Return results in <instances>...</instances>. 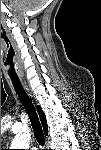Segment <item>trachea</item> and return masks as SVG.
<instances>
[{"label": "trachea", "mask_w": 101, "mask_h": 150, "mask_svg": "<svg viewBox=\"0 0 101 150\" xmlns=\"http://www.w3.org/2000/svg\"><path fill=\"white\" fill-rule=\"evenodd\" d=\"M11 80L21 103L23 104L25 110L28 113L37 142L40 145H44L45 143L44 133L32 101L30 100L27 93L23 89L19 79L12 78Z\"/></svg>", "instance_id": "3493384b"}]
</instances>
